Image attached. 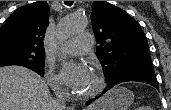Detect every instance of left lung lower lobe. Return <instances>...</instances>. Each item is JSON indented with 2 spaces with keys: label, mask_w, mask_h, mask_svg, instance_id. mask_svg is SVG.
I'll list each match as a JSON object with an SVG mask.
<instances>
[{
  "label": "left lung lower lobe",
  "mask_w": 171,
  "mask_h": 110,
  "mask_svg": "<svg viewBox=\"0 0 171 110\" xmlns=\"http://www.w3.org/2000/svg\"><path fill=\"white\" fill-rule=\"evenodd\" d=\"M126 81L144 82V83H148V84L154 86L155 88L159 89L158 88V81H157L155 75H150V74H129V75L121 76V77L113 80L112 82L108 83L107 87L105 88V90L102 92L101 95H103L105 92H107L109 89H111L115 85H117L119 83H122V82H126ZM90 103H91V101L87 102V104H90Z\"/></svg>",
  "instance_id": "0a47b994"
}]
</instances>
